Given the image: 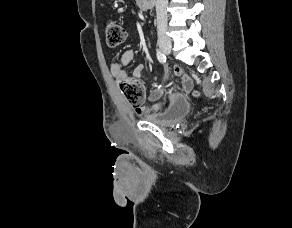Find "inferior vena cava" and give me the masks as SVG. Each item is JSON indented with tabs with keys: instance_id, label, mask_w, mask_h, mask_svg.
I'll return each instance as SVG.
<instances>
[{
	"instance_id": "obj_1",
	"label": "inferior vena cava",
	"mask_w": 292,
	"mask_h": 228,
	"mask_svg": "<svg viewBox=\"0 0 292 228\" xmlns=\"http://www.w3.org/2000/svg\"><path fill=\"white\" fill-rule=\"evenodd\" d=\"M167 5L168 0H156L158 41H169L167 36Z\"/></svg>"
}]
</instances>
